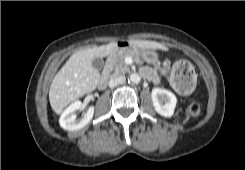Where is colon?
Masks as SVG:
<instances>
[{"label": "colon", "mask_w": 245, "mask_h": 170, "mask_svg": "<svg viewBox=\"0 0 245 170\" xmlns=\"http://www.w3.org/2000/svg\"><path fill=\"white\" fill-rule=\"evenodd\" d=\"M190 69L186 61H179L172 67L171 82L174 85L185 83L188 80L187 73ZM201 107L198 102H191L186 108L179 109L175 114V120L178 124L186 123L190 117H195L200 114Z\"/></svg>", "instance_id": "5ec220e1"}]
</instances>
